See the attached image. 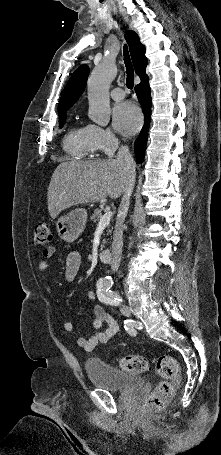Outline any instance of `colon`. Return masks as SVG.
I'll list each match as a JSON object with an SVG mask.
<instances>
[{
    "label": "colon",
    "mask_w": 221,
    "mask_h": 455,
    "mask_svg": "<svg viewBox=\"0 0 221 455\" xmlns=\"http://www.w3.org/2000/svg\"><path fill=\"white\" fill-rule=\"evenodd\" d=\"M52 232L47 224H39L34 230V244L37 247L49 248L52 243ZM120 367L130 373H142L148 369V361L143 356L126 355L118 358ZM157 373L163 378L144 401V408L160 411L171 401L175 388L180 381L178 361L171 355H162L153 360Z\"/></svg>",
    "instance_id": "5ec220e1"
}]
</instances>
